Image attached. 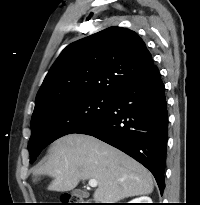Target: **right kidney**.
Listing matches in <instances>:
<instances>
[{
  "label": "right kidney",
  "mask_w": 200,
  "mask_h": 205,
  "mask_svg": "<svg viewBox=\"0 0 200 205\" xmlns=\"http://www.w3.org/2000/svg\"><path fill=\"white\" fill-rule=\"evenodd\" d=\"M129 203H152V200L148 196H141V197L133 199Z\"/></svg>",
  "instance_id": "ca27d5eb"
}]
</instances>
